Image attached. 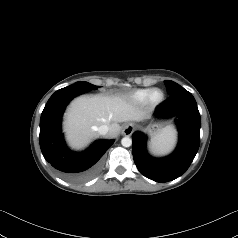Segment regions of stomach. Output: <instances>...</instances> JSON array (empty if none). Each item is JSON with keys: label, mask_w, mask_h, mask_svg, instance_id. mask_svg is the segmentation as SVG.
Returning <instances> with one entry per match:
<instances>
[{"label": "stomach", "mask_w": 238, "mask_h": 238, "mask_svg": "<svg viewBox=\"0 0 238 238\" xmlns=\"http://www.w3.org/2000/svg\"><path fill=\"white\" fill-rule=\"evenodd\" d=\"M168 126H164L162 123H153L148 126L146 131L151 136L152 139L157 138L162 131L167 128Z\"/></svg>", "instance_id": "1"}]
</instances>
